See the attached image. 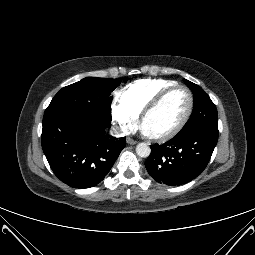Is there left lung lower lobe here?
Returning <instances> with one entry per match:
<instances>
[{"label": "left lung lower lobe", "mask_w": 255, "mask_h": 255, "mask_svg": "<svg viewBox=\"0 0 255 255\" xmlns=\"http://www.w3.org/2000/svg\"><path fill=\"white\" fill-rule=\"evenodd\" d=\"M217 140L216 131L177 134L160 146L151 145L146 169L159 183L171 186L187 183L203 172Z\"/></svg>", "instance_id": "0a47b994"}]
</instances>
